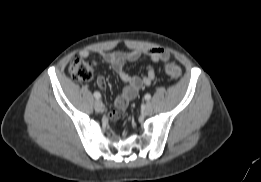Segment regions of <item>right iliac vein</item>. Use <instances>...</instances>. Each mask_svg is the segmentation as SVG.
<instances>
[{
	"label": "right iliac vein",
	"instance_id": "right-iliac-vein-1",
	"mask_svg": "<svg viewBox=\"0 0 261 182\" xmlns=\"http://www.w3.org/2000/svg\"><path fill=\"white\" fill-rule=\"evenodd\" d=\"M94 109L100 112L103 109V103L100 100H96L94 103Z\"/></svg>",
	"mask_w": 261,
	"mask_h": 182
}]
</instances>
